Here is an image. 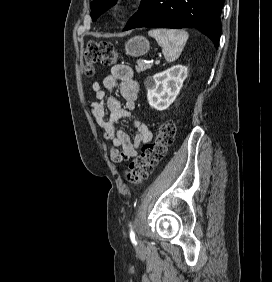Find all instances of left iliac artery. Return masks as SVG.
Instances as JSON below:
<instances>
[{
    "mask_svg": "<svg viewBox=\"0 0 272 282\" xmlns=\"http://www.w3.org/2000/svg\"><path fill=\"white\" fill-rule=\"evenodd\" d=\"M130 239L132 242L136 243V240H135V233L133 232V230L131 229L130 231Z\"/></svg>",
    "mask_w": 272,
    "mask_h": 282,
    "instance_id": "obj_1",
    "label": "left iliac artery"
}]
</instances>
